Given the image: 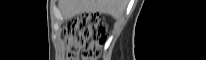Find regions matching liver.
<instances>
[{"instance_id":"liver-1","label":"liver","mask_w":206,"mask_h":60,"mask_svg":"<svg viewBox=\"0 0 206 60\" xmlns=\"http://www.w3.org/2000/svg\"><path fill=\"white\" fill-rule=\"evenodd\" d=\"M64 15L72 17L84 12H98L119 18L126 6L125 0H60Z\"/></svg>"}]
</instances>
